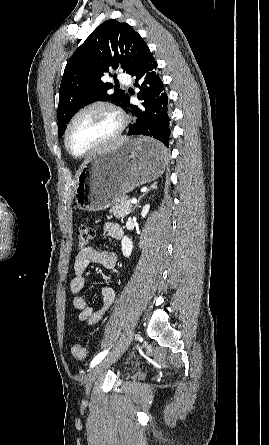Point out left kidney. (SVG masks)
I'll list each match as a JSON object with an SVG mask.
<instances>
[{"label":"left kidney","mask_w":269,"mask_h":445,"mask_svg":"<svg viewBox=\"0 0 269 445\" xmlns=\"http://www.w3.org/2000/svg\"><path fill=\"white\" fill-rule=\"evenodd\" d=\"M149 208H150L149 204H147V205H145L143 207V210L141 212V216L143 218L148 214ZM121 245H122V253H123V255L125 257H129L131 255V252H132V249H133V242L128 237L125 236L122 239Z\"/></svg>","instance_id":"left-kidney-1"}]
</instances>
